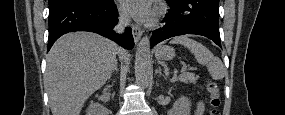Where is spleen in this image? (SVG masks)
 <instances>
[{
    "instance_id": "1",
    "label": "spleen",
    "mask_w": 285,
    "mask_h": 115,
    "mask_svg": "<svg viewBox=\"0 0 285 115\" xmlns=\"http://www.w3.org/2000/svg\"><path fill=\"white\" fill-rule=\"evenodd\" d=\"M171 44H181L188 48L194 55L195 59L202 65H205L214 80L224 78L226 69L220 58L214 54L204 45L189 38L188 36H178L170 41Z\"/></svg>"
}]
</instances>
